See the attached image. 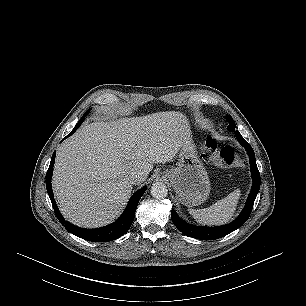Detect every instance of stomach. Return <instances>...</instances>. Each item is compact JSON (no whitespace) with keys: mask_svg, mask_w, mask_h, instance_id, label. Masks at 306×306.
<instances>
[{"mask_svg":"<svg viewBox=\"0 0 306 306\" xmlns=\"http://www.w3.org/2000/svg\"><path fill=\"white\" fill-rule=\"evenodd\" d=\"M163 176L172 185L178 201L187 207L200 205L209 196V177L191 140L180 149L177 167L164 171Z\"/></svg>","mask_w":306,"mask_h":306,"instance_id":"1","label":"stomach"}]
</instances>
